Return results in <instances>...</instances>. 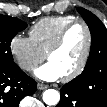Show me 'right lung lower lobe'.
<instances>
[{"label": "right lung lower lobe", "mask_w": 107, "mask_h": 107, "mask_svg": "<svg viewBox=\"0 0 107 107\" xmlns=\"http://www.w3.org/2000/svg\"><path fill=\"white\" fill-rule=\"evenodd\" d=\"M36 82L16 64L0 67V107H18L22 98L33 94Z\"/></svg>", "instance_id": "98d812e1"}]
</instances>
